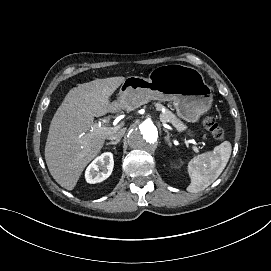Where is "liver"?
I'll list each match as a JSON object with an SVG mask.
<instances>
[{"label":"liver","mask_w":271,"mask_h":271,"mask_svg":"<svg viewBox=\"0 0 271 271\" xmlns=\"http://www.w3.org/2000/svg\"><path fill=\"white\" fill-rule=\"evenodd\" d=\"M124 80L111 77L79 84L68 92L54 114L45 160L52 177L65 189H74L84 168L103 147L106 135L86 132L93 126L94 117L115 111L109 97ZM82 133L85 134L80 138Z\"/></svg>","instance_id":"6515ba94"}]
</instances>
